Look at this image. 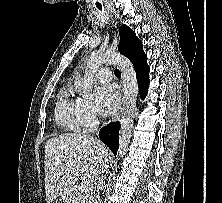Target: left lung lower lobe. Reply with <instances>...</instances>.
I'll return each instance as SVG.
<instances>
[{
  "mask_svg": "<svg viewBox=\"0 0 222 203\" xmlns=\"http://www.w3.org/2000/svg\"><path fill=\"white\" fill-rule=\"evenodd\" d=\"M129 60L132 62L136 70L140 95L144 98L149 86V67L146 63V55L143 52L142 46L131 58H129Z\"/></svg>",
  "mask_w": 222,
  "mask_h": 203,
  "instance_id": "left-lung-lower-lobe-1",
  "label": "left lung lower lobe"
}]
</instances>
